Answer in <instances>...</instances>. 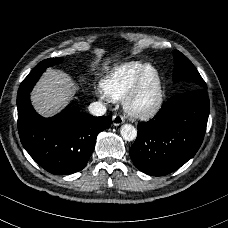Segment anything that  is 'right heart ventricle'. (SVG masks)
Returning <instances> with one entry per match:
<instances>
[{
    "mask_svg": "<svg viewBox=\"0 0 228 228\" xmlns=\"http://www.w3.org/2000/svg\"><path fill=\"white\" fill-rule=\"evenodd\" d=\"M149 66V63L142 61H127L114 66L101 81L102 96L110 101L124 99L140 74Z\"/></svg>",
    "mask_w": 228,
    "mask_h": 228,
    "instance_id": "1",
    "label": "right heart ventricle"
}]
</instances>
